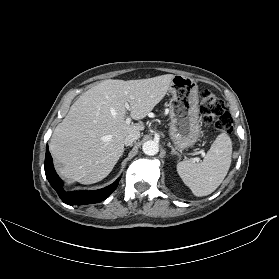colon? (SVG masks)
I'll use <instances>...</instances> for the list:
<instances>
[{"label": "colon", "instance_id": "1", "mask_svg": "<svg viewBox=\"0 0 279 279\" xmlns=\"http://www.w3.org/2000/svg\"><path fill=\"white\" fill-rule=\"evenodd\" d=\"M200 113L206 123H214L219 131L232 130L231 115L225 110L222 101L210 90L204 89L200 92Z\"/></svg>", "mask_w": 279, "mask_h": 279}]
</instances>
